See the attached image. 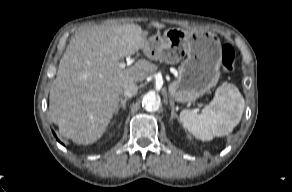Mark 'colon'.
<instances>
[{"label": "colon", "mask_w": 292, "mask_h": 192, "mask_svg": "<svg viewBox=\"0 0 292 192\" xmlns=\"http://www.w3.org/2000/svg\"><path fill=\"white\" fill-rule=\"evenodd\" d=\"M235 63V52L230 45H223L221 49V64L226 72L233 70Z\"/></svg>", "instance_id": "5ec220e1"}]
</instances>
